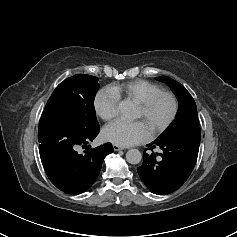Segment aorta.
I'll list each match as a JSON object with an SVG mask.
<instances>
[{
	"label": "aorta",
	"mask_w": 237,
	"mask_h": 237,
	"mask_svg": "<svg viewBox=\"0 0 237 237\" xmlns=\"http://www.w3.org/2000/svg\"><path fill=\"white\" fill-rule=\"evenodd\" d=\"M119 107L125 117L131 116V109L127 104L121 103ZM126 160L130 164H138L142 160V154L138 149H129L126 153Z\"/></svg>",
	"instance_id": "1"
}]
</instances>
